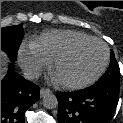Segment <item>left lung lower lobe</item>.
Here are the masks:
<instances>
[{
    "mask_svg": "<svg viewBox=\"0 0 123 123\" xmlns=\"http://www.w3.org/2000/svg\"><path fill=\"white\" fill-rule=\"evenodd\" d=\"M119 91V85L96 82L85 90L58 92L59 123H110Z\"/></svg>",
    "mask_w": 123,
    "mask_h": 123,
    "instance_id": "1",
    "label": "left lung lower lobe"
}]
</instances>
